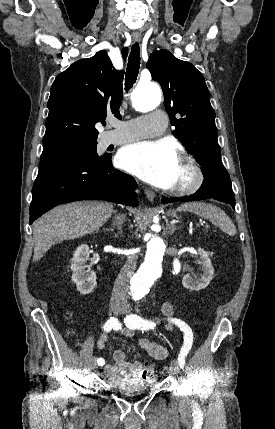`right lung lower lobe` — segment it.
Instances as JSON below:
<instances>
[{
	"label": "right lung lower lobe",
	"mask_w": 275,
	"mask_h": 429,
	"mask_svg": "<svg viewBox=\"0 0 275 429\" xmlns=\"http://www.w3.org/2000/svg\"><path fill=\"white\" fill-rule=\"evenodd\" d=\"M134 178L111 164V156L89 164H63L39 170L32 189L30 221L53 207L77 200H106L137 206Z\"/></svg>",
	"instance_id": "98d812e1"
}]
</instances>
